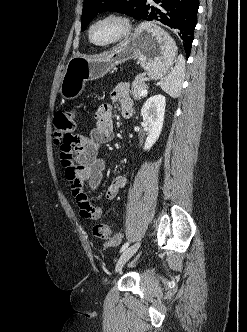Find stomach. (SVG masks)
Masks as SVG:
<instances>
[{
    "instance_id": "stomach-1",
    "label": "stomach",
    "mask_w": 247,
    "mask_h": 332,
    "mask_svg": "<svg viewBox=\"0 0 247 332\" xmlns=\"http://www.w3.org/2000/svg\"><path fill=\"white\" fill-rule=\"evenodd\" d=\"M176 55L174 40L158 25L144 22L128 39L101 57H72L63 73L59 92L64 99H75L87 81L103 77L116 65L133 58L138 59L150 78L162 79L173 66Z\"/></svg>"
}]
</instances>
